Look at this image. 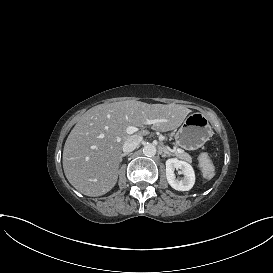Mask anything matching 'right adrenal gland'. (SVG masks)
<instances>
[{
	"mask_svg": "<svg viewBox=\"0 0 273 273\" xmlns=\"http://www.w3.org/2000/svg\"><path fill=\"white\" fill-rule=\"evenodd\" d=\"M125 155H127V153H123V154L121 155V161H122V157L125 156Z\"/></svg>",
	"mask_w": 273,
	"mask_h": 273,
	"instance_id": "right-adrenal-gland-1",
	"label": "right adrenal gland"
}]
</instances>
